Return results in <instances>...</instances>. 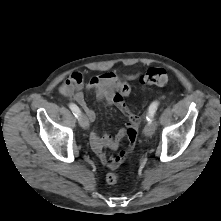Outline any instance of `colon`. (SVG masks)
Returning a JSON list of instances; mask_svg holds the SVG:
<instances>
[{"instance_id":"obj_1","label":"colon","mask_w":221,"mask_h":221,"mask_svg":"<svg viewBox=\"0 0 221 221\" xmlns=\"http://www.w3.org/2000/svg\"><path fill=\"white\" fill-rule=\"evenodd\" d=\"M169 76L165 69L159 67L149 68L141 77L140 81L146 85L162 86L168 82ZM130 93V86L125 83L121 86L118 93L115 95L114 102L125 114L128 113V108L126 106L124 98ZM139 119L130 125L126 130V136L128 144L124 150H122L118 155L112 156L107 160L109 168H116L132 151L134 144L137 139L138 134ZM118 174L114 171H109L106 174L105 180L109 185H114L118 182Z\"/></svg>"}]
</instances>
